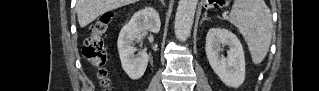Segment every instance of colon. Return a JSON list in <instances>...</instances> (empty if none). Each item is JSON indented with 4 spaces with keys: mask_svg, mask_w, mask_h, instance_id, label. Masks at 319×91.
Returning <instances> with one entry per match:
<instances>
[{
    "mask_svg": "<svg viewBox=\"0 0 319 91\" xmlns=\"http://www.w3.org/2000/svg\"><path fill=\"white\" fill-rule=\"evenodd\" d=\"M111 15L103 14L91 26L90 35L85 40L83 55L88 63L97 70V75L103 85H108L107 72L105 70L106 52L104 49V34L110 24Z\"/></svg>",
    "mask_w": 319,
    "mask_h": 91,
    "instance_id": "5ec220e1",
    "label": "colon"
}]
</instances>
